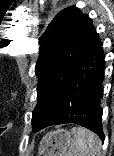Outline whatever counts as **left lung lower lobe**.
<instances>
[{"label":"left lung lower lobe","mask_w":114,"mask_h":156,"mask_svg":"<svg viewBox=\"0 0 114 156\" xmlns=\"http://www.w3.org/2000/svg\"><path fill=\"white\" fill-rule=\"evenodd\" d=\"M103 73L102 43L94 30L67 83L59 110L44 127L35 131L51 125L75 123L92 130L104 140L100 107Z\"/></svg>","instance_id":"1"}]
</instances>
